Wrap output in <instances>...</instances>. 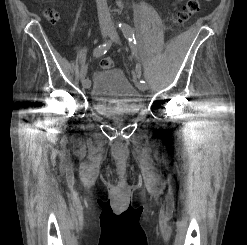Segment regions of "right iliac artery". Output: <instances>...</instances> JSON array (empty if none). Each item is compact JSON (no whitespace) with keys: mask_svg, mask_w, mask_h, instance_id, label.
Listing matches in <instances>:
<instances>
[{"mask_svg":"<svg viewBox=\"0 0 247 245\" xmlns=\"http://www.w3.org/2000/svg\"><path fill=\"white\" fill-rule=\"evenodd\" d=\"M112 45V41L111 40H107L106 42H104L103 44L97 46L94 51H93V55L95 57H100L102 55H104L108 50L109 48L111 47ZM88 64L85 63L83 68L81 69V71L79 72V78H80V81L81 82H84L87 80V72H88Z\"/></svg>","mask_w":247,"mask_h":245,"instance_id":"82829eb1","label":"right iliac artery"}]
</instances>
